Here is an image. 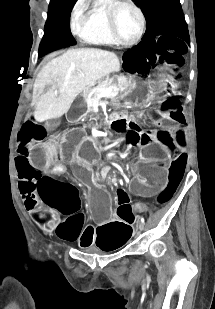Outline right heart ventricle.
<instances>
[{
  "label": "right heart ventricle",
  "mask_w": 215,
  "mask_h": 309,
  "mask_svg": "<svg viewBox=\"0 0 215 309\" xmlns=\"http://www.w3.org/2000/svg\"><path fill=\"white\" fill-rule=\"evenodd\" d=\"M81 35L90 38V42H111L108 21L105 14H87L81 19Z\"/></svg>",
  "instance_id": "1"
}]
</instances>
